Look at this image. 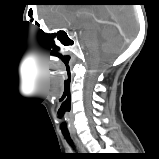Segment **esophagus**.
<instances>
[{
	"instance_id": "esophagus-1",
	"label": "esophagus",
	"mask_w": 159,
	"mask_h": 159,
	"mask_svg": "<svg viewBox=\"0 0 159 159\" xmlns=\"http://www.w3.org/2000/svg\"><path fill=\"white\" fill-rule=\"evenodd\" d=\"M75 141H76L80 151L84 153L85 152L84 146L80 143V141L76 137H75Z\"/></svg>"
}]
</instances>
